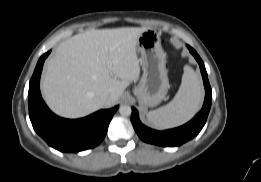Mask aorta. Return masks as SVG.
<instances>
[{
  "mask_svg": "<svg viewBox=\"0 0 261 182\" xmlns=\"http://www.w3.org/2000/svg\"><path fill=\"white\" fill-rule=\"evenodd\" d=\"M119 112L121 115L123 116H129L131 115L132 109L130 106L128 105H123L119 108Z\"/></svg>",
  "mask_w": 261,
  "mask_h": 182,
  "instance_id": "1",
  "label": "aorta"
}]
</instances>
